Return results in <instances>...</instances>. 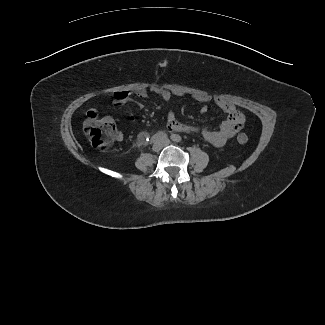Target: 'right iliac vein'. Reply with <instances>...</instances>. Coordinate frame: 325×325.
Here are the masks:
<instances>
[{
	"label": "right iliac vein",
	"instance_id": "obj_1",
	"mask_svg": "<svg viewBox=\"0 0 325 325\" xmlns=\"http://www.w3.org/2000/svg\"><path fill=\"white\" fill-rule=\"evenodd\" d=\"M162 147H163V142L159 141L153 145L152 149H153V151L158 152L162 149Z\"/></svg>",
	"mask_w": 325,
	"mask_h": 325
}]
</instances>
